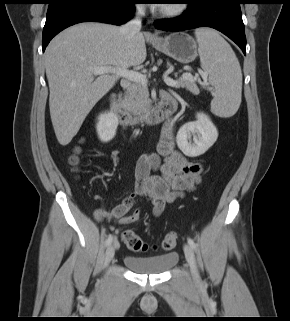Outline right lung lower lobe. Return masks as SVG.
Instances as JSON below:
<instances>
[{"label": "right lung lower lobe", "instance_id": "obj_1", "mask_svg": "<svg viewBox=\"0 0 290 321\" xmlns=\"http://www.w3.org/2000/svg\"><path fill=\"white\" fill-rule=\"evenodd\" d=\"M139 0H51L43 29L42 48L63 29L81 22L121 25L128 21Z\"/></svg>", "mask_w": 290, "mask_h": 321}]
</instances>
